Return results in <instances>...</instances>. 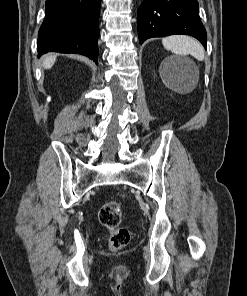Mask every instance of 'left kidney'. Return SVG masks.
I'll return each instance as SVG.
<instances>
[{"label":"left kidney","mask_w":247,"mask_h":296,"mask_svg":"<svg viewBox=\"0 0 247 296\" xmlns=\"http://www.w3.org/2000/svg\"><path fill=\"white\" fill-rule=\"evenodd\" d=\"M165 63L176 72H183L185 71V67L183 66L182 62L176 58H168L166 59Z\"/></svg>","instance_id":"left-kidney-1"}]
</instances>
